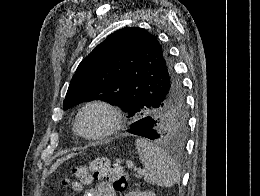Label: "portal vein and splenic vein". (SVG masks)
Returning <instances> with one entry per match:
<instances>
[{"mask_svg":"<svg viewBox=\"0 0 260 196\" xmlns=\"http://www.w3.org/2000/svg\"><path fill=\"white\" fill-rule=\"evenodd\" d=\"M128 168H134V172H137V176H142V174H145L147 170H141V168H137V166H134L133 162H126Z\"/></svg>","mask_w":260,"mask_h":196,"instance_id":"obj_1","label":"portal vein and splenic vein"}]
</instances>
